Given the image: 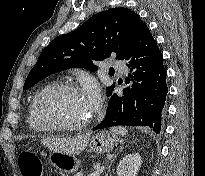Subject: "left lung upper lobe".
Returning a JSON list of instances; mask_svg holds the SVG:
<instances>
[{"label":"left lung upper lobe","mask_w":205,"mask_h":176,"mask_svg":"<svg viewBox=\"0 0 205 176\" xmlns=\"http://www.w3.org/2000/svg\"><path fill=\"white\" fill-rule=\"evenodd\" d=\"M143 25L140 17L127 8H113L95 14L76 30L56 37L43 49L23 89L69 68L96 71L95 61L104 60L111 54H116V59L121 60ZM114 86L107 90L108 94Z\"/></svg>","instance_id":"left-lung-upper-lobe-1"}]
</instances>
